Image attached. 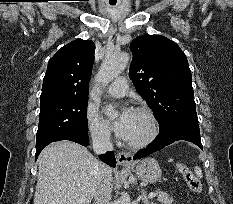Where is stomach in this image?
I'll return each mask as SVG.
<instances>
[{"label":"stomach","instance_id":"stomach-1","mask_svg":"<svg viewBox=\"0 0 233 204\" xmlns=\"http://www.w3.org/2000/svg\"><path fill=\"white\" fill-rule=\"evenodd\" d=\"M136 174L140 180L154 183L161 177V169L153 158H146L136 164Z\"/></svg>","mask_w":233,"mask_h":204}]
</instances>
